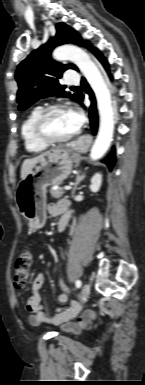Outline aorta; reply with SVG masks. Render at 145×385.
I'll return each mask as SVG.
<instances>
[{
  "instance_id": "aorta-1",
  "label": "aorta",
  "mask_w": 145,
  "mask_h": 385,
  "mask_svg": "<svg viewBox=\"0 0 145 385\" xmlns=\"http://www.w3.org/2000/svg\"><path fill=\"white\" fill-rule=\"evenodd\" d=\"M55 60H71L78 66L93 89L100 114V126L97 138L92 146L90 157L98 160L107 152L113 138L114 112L110 91L95 63L81 48L63 45L53 52Z\"/></svg>"
}]
</instances>
